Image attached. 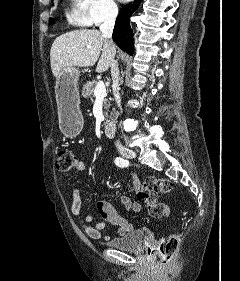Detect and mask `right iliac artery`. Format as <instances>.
Returning <instances> with one entry per match:
<instances>
[{
  "mask_svg": "<svg viewBox=\"0 0 240 281\" xmlns=\"http://www.w3.org/2000/svg\"><path fill=\"white\" fill-rule=\"evenodd\" d=\"M115 164L119 167H127L129 165V161L128 160H125L121 157H116L115 160H114Z\"/></svg>",
  "mask_w": 240,
  "mask_h": 281,
  "instance_id": "right-iliac-artery-1",
  "label": "right iliac artery"
}]
</instances>
